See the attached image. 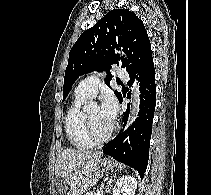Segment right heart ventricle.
<instances>
[{"label": "right heart ventricle", "instance_id": "right-heart-ventricle-1", "mask_svg": "<svg viewBox=\"0 0 211 195\" xmlns=\"http://www.w3.org/2000/svg\"><path fill=\"white\" fill-rule=\"evenodd\" d=\"M88 100L87 97L75 92V96L68 107L65 117V130L69 141L79 149H89L94 143L88 138L84 125V110L82 105Z\"/></svg>", "mask_w": 211, "mask_h": 195}]
</instances>
